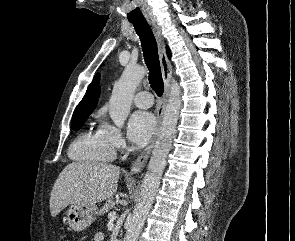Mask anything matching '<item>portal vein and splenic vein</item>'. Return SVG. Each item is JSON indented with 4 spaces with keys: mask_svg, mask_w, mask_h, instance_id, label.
<instances>
[{
    "mask_svg": "<svg viewBox=\"0 0 295 241\" xmlns=\"http://www.w3.org/2000/svg\"><path fill=\"white\" fill-rule=\"evenodd\" d=\"M108 218L111 219V220L116 219V212H110L109 215H108Z\"/></svg>",
    "mask_w": 295,
    "mask_h": 241,
    "instance_id": "portal-vein-and-splenic-vein-1",
    "label": "portal vein and splenic vein"
}]
</instances>
